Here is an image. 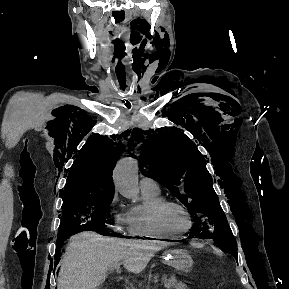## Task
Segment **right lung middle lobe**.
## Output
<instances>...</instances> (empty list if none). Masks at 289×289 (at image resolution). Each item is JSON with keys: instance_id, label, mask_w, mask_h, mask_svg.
<instances>
[{"instance_id": "right-lung-middle-lobe-1", "label": "right lung middle lobe", "mask_w": 289, "mask_h": 289, "mask_svg": "<svg viewBox=\"0 0 289 289\" xmlns=\"http://www.w3.org/2000/svg\"><path fill=\"white\" fill-rule=\"evenodd\" d=\"M113 197L114 193H99L64 198L57 239H67L78 231H95L102 235L110 234L103 227Z\"/></svg>"}]
</instances>
